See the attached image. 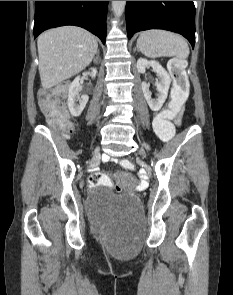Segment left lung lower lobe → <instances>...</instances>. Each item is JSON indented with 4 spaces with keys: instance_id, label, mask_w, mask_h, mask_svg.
Returning a JSON list of instances; mask_svg holds the SVG:
<instances>
[{
    "instance_id": "left-lung-lower-lobe-1",
    "label": "left lung lower lobe",
    "mask_w": 233,
    "mask_h": 295,
    "mask_svg": "<svg viewBox=\"0 0 233 295\" xmlns=\"http://www.w3.org/2000/svg\"><path fill=\"white\" fill-rule=\"evenodd\" d=\"M127 35L147 29H165L182 34L195 45V6L193 1H127Z\"/></svg>"
}]
</instances>
